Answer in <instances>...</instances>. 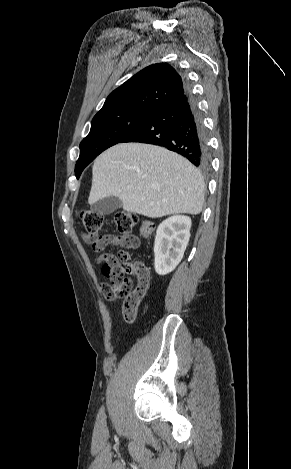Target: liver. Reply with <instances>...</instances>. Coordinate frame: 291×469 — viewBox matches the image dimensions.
<instances>
[{"label": "liver", "instance_id": "6515ba94", "mask_svg": "<svg viewBox=\"0 0 291 469\" xmlns=\"http://www.w3.org/2000/svg\"><path fill=\"white\" fill-rule=\"evenodd\" d=\"M205 189L201 174L182 156L155 145L121 143L96 158L88 202L115 196L125 211L150 218L197 215Z\"/></svg>", "mask_w": 291, "mask_h": 469}]
</instances>
